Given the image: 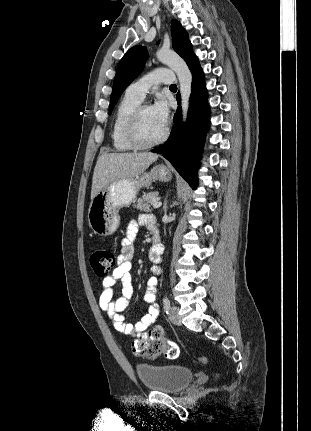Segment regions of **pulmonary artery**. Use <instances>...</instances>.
<instances>
[{
  "instance_id": "obj_1",
  "label": "pulmonary artery",
  "mask_w": 311,
  "mask_h": 431,
  "mask_svg": "<svg viewBox=\"0 0 311 431\" xmlns=\"http://www.w3.org/2000/svg\"><path fill=\"white\" fill-rule=\"evenodd\" d=\"M174 80L171 71L165 68H157L138 79L128 87V91L143 99L145 94L159 84H170Z\"/></svg>"
}]
</instances>
